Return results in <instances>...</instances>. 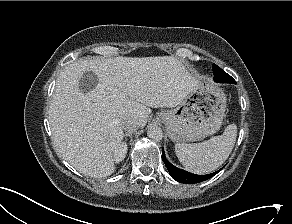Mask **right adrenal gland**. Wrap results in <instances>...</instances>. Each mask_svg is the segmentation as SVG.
Wrapping results in <instances>:
<instances>
[{"mask_svg":"<svg viewBox=\"0 0 292 224\" xmlns=\"http://www.w3.org/2000/svg\"><path fill=\"white\" fill-rule=\"evenodd\" d=\"M125 137V139H127L126 137H130V142H132L133 137H132V132H127L123 135ZM131 144V143H130Z\"/></svg>","mask_w":292,"mask_h":224,"instance_id":"1","label":"right adrenal gland"}]
</instances>
